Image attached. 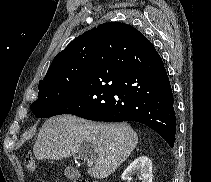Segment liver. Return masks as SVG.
<instances>
[{"mask_svg": "<svg viewBox=\"0 0 211 182\" xmlns=\"http://www.w3.org/2000/svg\"><path fill=\"white\" fill-rule=\"evenodd\" d=\"M137 143L136 132L126 123H91L62 115L43 124L33 153L38 160H59L79 153L81 159L88 161V174L104 179L129 157Z\"/></svg>", "mask_w": 211, "mask_h": 182, "instance_id": "1", "label": "liver"}]
</instances>
